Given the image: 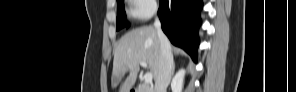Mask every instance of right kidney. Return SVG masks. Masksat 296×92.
Listing matches in <instances>:
<instances>
[{"label": "right kidney", "mask_w": 296, "mask_h": 92, "mask_svg": "<svg viewBox=\"0 0 296 92\" xmlns=\"http://www.w3.org/2000/svg\"><path fill=\"white\" fill-rule=\"evenodd\" d=\"M185 70L180 69L171 82L172 92H182Z\"/></svg>", "instance_id": "ca27d5eb"}]
</instances>
